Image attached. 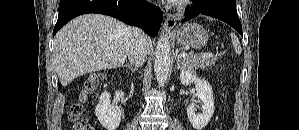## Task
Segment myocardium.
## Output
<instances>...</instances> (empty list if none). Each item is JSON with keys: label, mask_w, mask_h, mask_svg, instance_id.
Wrapping results in <instances>:
<instances>
[{"label": "myocardium", "mask_w": 299, "mask_h": 130, "mask_svg": "<svg viewBox=\"0 0 299 130\" xmlns=\"http://www.w3.org/2000/svg\"><path fill=\"white\" fill-rule=\"evenodd\" d=\"M188 2H189V1H187V0H185V1H181V2L179 3V5H178V9L181 10L182 7H183L186 3H188Z\"/></svg>", "instance_id": "f54148a6"}]
</instances>
